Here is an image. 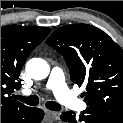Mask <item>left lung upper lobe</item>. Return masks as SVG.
Returning <instances> with one entry per match:
<instances>
[{
  "label": "left lung upper lobe",
  "mask_w": 123,
  "mask_h": 123,
  "mask_svg": "<svg viewBox=\"0 0 123 123\" xmlns=\"http://www.w3.org/2000/svg\"><path fill=\"white\" fill-rule=\"evenodd\" d=\"M65 59L71 80L86 86L88 106L123 115V50L88 24L58 28L46 40Z\"/></svg>",
  "instance_id": "1"
}]
</instances>
